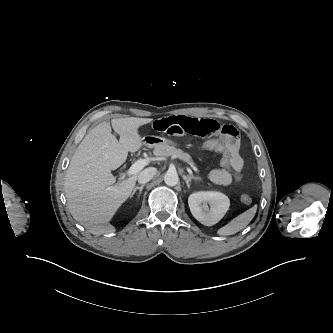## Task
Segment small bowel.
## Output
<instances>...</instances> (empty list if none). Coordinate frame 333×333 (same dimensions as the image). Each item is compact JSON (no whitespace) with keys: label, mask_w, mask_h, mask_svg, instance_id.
<instances>
[{"label":"small bowel","mask_w":333,"mask_h":333,"mask_svg":"<svg viewBox=\"0 0 333 333\" xmlns=\"http://www.w3.org/2000/svg\"><path fill=\"white\" fill-rule=\"evenodd\" d=\"M151 127L156 132L173 137L184 135L210 137L228 150L236 171L243 169L244 161L239 153V134L231 125L220 124L213 119L173 115L156 119L152 122ZM209 178L215 184L223 186H227L233 181L232 173L223 168L212 170Z\"/></svg>","instance_id":"c3829d8e"}]
</instances>
